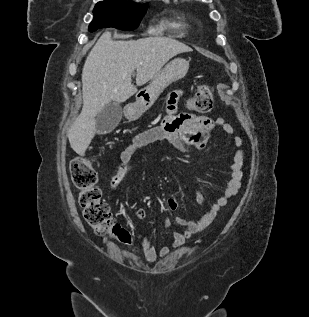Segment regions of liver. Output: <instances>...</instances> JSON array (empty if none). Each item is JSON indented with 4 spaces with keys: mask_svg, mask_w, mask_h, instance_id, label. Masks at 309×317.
<instances>
[{
    "mask_svg": "<svg viewBox=\"0 0 309 317\" xmlns=\"http://www.w3.org/2000/svg\"><path fill=\"white\" fill-rule=\"evenodd\" d=\"M191 51L168 37L113 41L110 32L103 33L83 66V107L68 132L71 148L84 156L96 133L98 113L106 104L125 102L137 92L131 80L135 70L136 85L142 86L154 79L172 57Z\"/></svg>",
    "mask_w": 309,
    "mask_h": 317,
    "instance_id": "1",
    "label": "liver"
}]
</instances>
